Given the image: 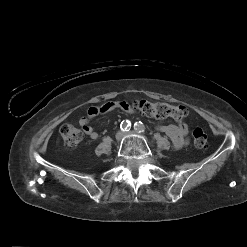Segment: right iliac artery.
<instances>
[{"mask_svg": "<svg viewBox=\"0 0 247 247\" xmlns=\"http://www.w3.org/2000/svg\"><path fill=\"white\" fill-rule=\"evenodd\" d=\"M130 127H131V123L128 120H124L120 124V129L122 131H129L130 130Z\"/></svg>", "mask_w": 247, "mask_h": 247, "instance_id": "right-iliac-artery-1", "label": "right iliac artery"}]
</instances>
